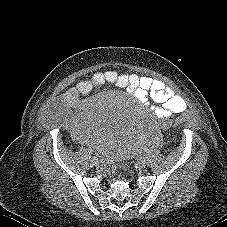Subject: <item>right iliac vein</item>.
Listing matches in <instances>:
<instances>
[{"label": "right iliac vein", "instance_id": "right-iliac-vein-1", "mask_svg": "<svg viewBox=\"0 0 227 227\" xmlns=\"http://www.w3.org/2000/svg\"><path fill=\"white\" fill-rule=\"evenodd\" d=\"M93 165H94L95 167H99L100 163H99L98 160H94V161H93Z\"/></svg>", "mask_w": 227, "mask_h": 227}]
</instances>
